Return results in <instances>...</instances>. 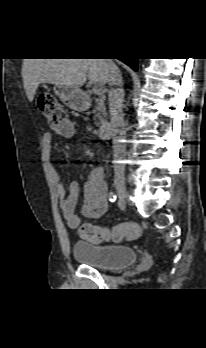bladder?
<instances>
[{"label":"bladder","instance_id":"bladder-1","mask_svg":"<svg viewBox=\"0 0 206 348\" xmlns=\"http://www.w3.org/2000/svg\"><path fill=\"white\" fill-rule=\"evenodd\" d=\"M72 252L80 264L105 270L130 265L138 259L133 248L120 244L77 241L73 244Z\"/></svg>","mask_w":206,"mask_h":348}]
</instances>
